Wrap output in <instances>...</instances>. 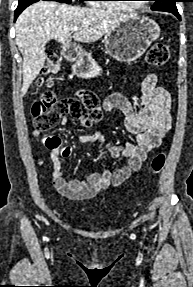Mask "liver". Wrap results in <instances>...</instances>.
<instances>
[{"label":"liver","instance_id":"obj_1","mask_svg":"<svg viewBox=\"0 0 193 287\" xmlns=\"http://www.w3.org/2000/svg\"><path fill=\"white\" fill-rule=\"evenodd\" d=\"M131 17L134 15L52 1L30 5L15 24V40L23 56L22 95L26 94L44 66L47 58L45 45L49 40L55 39L62 44H69L72 39L92 43ZM72 27H78L73 35Z\"/></svg>","mask_w":193,"mask_h":287}]
</instances>
